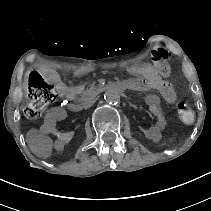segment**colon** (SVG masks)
I'll use <instances>...</instances> for the list:
<instances>
[{"mask_svg": "<svg viewBox=\"0 0 211 211\" xmlns=\"http://www.w3.org/2000/svg\"><path fill=\"white\" fill-rule=\"evenodd\" d=\"M26 97L25 115L29 118H37L48 105L56 100L57 95L53 83L47 77L34 71L28 77ZM176 110L183 123L191 124L195 120V113L187 104L178 103Z\"/></svg>", "mask_w": 211, "mask_h": 211, "instance_id": "1", "label": "colon"}]
</instances>
